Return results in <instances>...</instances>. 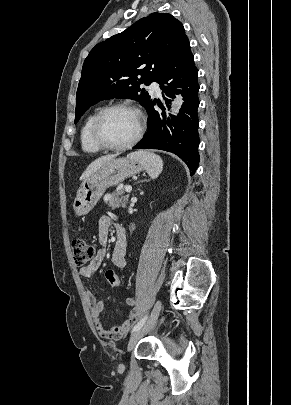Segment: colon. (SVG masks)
<instances>
[{"mask_svg":"<svg viewBox=\"0 0 291 405\" xmlns=\"http://www.w3.org/2000/svg\"><path fill=\"white\" fill-rule=\"evenodd\" d=\"M73 260L77 267H84L94 257V248L83 239H75L72 242ZM106 279L108 283L117 287L121 284V277L115 270L106 271Z\"/></svg>","mask_w":291,"mask_h":405,"instance_id":"1","label":"colon"}]
</instances>
